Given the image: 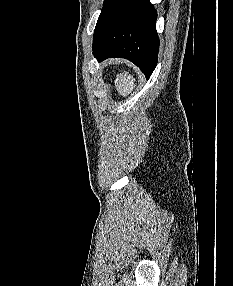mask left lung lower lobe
Returning a JSON list of instances; mask_svg holds the SVG:
<instances>
[{"label": "left lung lower lobe", "instance_id": "left-lung-lower-lobe-1", "mask_svg": "<svg viewBox=\"0 0 233 286\" xmlns=\"http://www.w3.org/2000/svg\"><path fill=\"white\" fill-rule=\"evenodd\" d=\"M156 19L149 0H104L93 36L94 57L99 62L126 58L149 79L158 57Z\"/></svg>", "mask_w": 233, "mask_h": 286}]
</instances>
